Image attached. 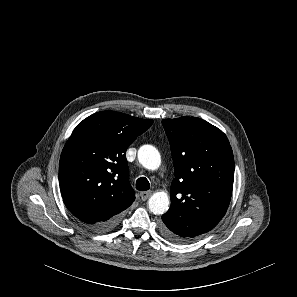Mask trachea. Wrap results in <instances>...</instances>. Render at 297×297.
<instances>
[{"label":"trachea","instance_id":"1","mask_svg":"<svg viewBox=\"0 0 297 297\" xmlns=\"http://www.w3.org/2000/svg\"><path fill=\"white\" fill-rule=\"evenodd\" d=\"M150 188V183L145 177H140L136 181V189L139 191H146Z\"/></svg>","mask_w":297,"mask_h":297}]
</instances>
